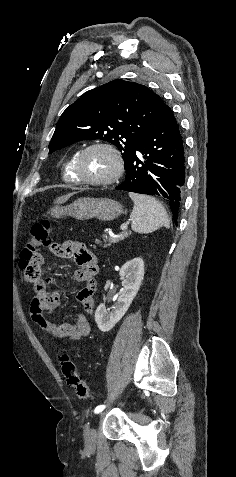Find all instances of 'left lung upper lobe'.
Segmentation results:
<instances>
[{"label": "left lung upper lobe", "instance_id": "1", "mask_svg": "<svg viewBox=\"0 0 236 477\" xmlns=\"http://www.w3.org/2000/svg\"><path fill=\"white\" fill-rule=\"evenodd\" d=\"M162 99L146 86L118 79L85 92L61 115L49 153L81 140L115 145L124 167L161 112Z\"/></svg>", "mask_w": 236, "mask_h": 477}]
</instances>
